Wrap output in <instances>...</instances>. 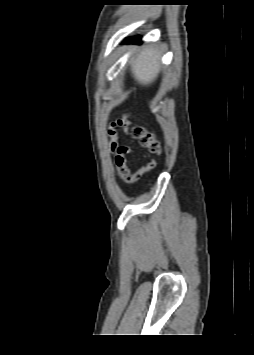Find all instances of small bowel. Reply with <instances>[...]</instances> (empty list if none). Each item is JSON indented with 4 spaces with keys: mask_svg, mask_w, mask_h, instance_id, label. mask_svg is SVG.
<instances>
[{
    "mask_svg": "<svg viewBox=\"0 0 254 355\" xmlns=\"http://www.w3.org/2000/svg\"><path fill=\"white\" fill-rule=\"evenodd\" d=\"M118 129H121L124 133H127V123L125 121H117L112 123L108 131L110 137L109 151L114 156V163L117 167L121 180L124 183L132 184L138 181L141 176L153 170L156 167V161L152 158H148L145 164L140 166L135 172H131L126 163V155L133 154L134 150L128 145H120L118 143Z\"/></svg>",
    "mask_w": 254,
    "mask_h": 355,
    "instance_id": "c3829d8e",
    "label": "small bowel"
}]
</instances>
